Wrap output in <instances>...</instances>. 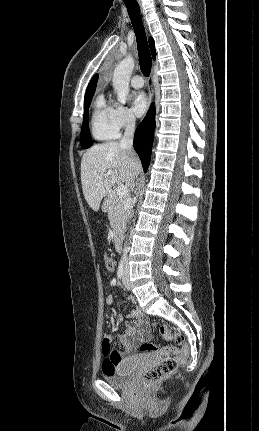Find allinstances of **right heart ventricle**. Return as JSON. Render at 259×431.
<instances>
[{
    "label": "right heart ventricle",
    "instance_id": "right-heart-ventricle-1",
    "mask_svg": "<svg viewBox=\"0 0 259 431\" xmlns=\"http://www.w3.org/2000/svg\"><path fill=\"white\" fill-rule=\"evenodd\" d=\"M112 107L107 105L104 96L98 95L93 103L90 128L94 139L109 141L118 137L119 131L112 123Z\"/></svg>",
    "mask_w": 259,
    "mask_h": 431
}]
</instances>
